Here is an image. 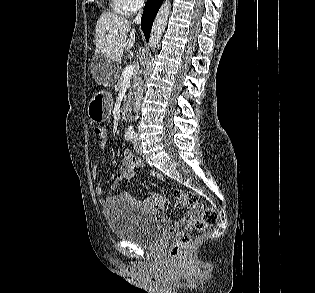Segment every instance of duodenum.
I'll return each instance as SVG.
<instances>
[{
	"mask_svg": "<svg viewBox=\"0 0 315 293\" xmlns=\"http://www.w3.org/2000/svg\"><path fill=\"white\" fill-rule=\"evenodd\" d=\"M131 106L129 102H124L121 107V117L123 120H128L130 116Z\"/></svg>",
	"mask_w": 315,
	"mask_h": 293,
	"instance_id": "1",
	"label": "duodenum"
}]
</instances>
